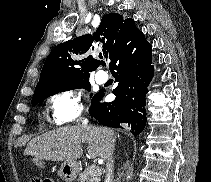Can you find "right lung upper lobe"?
<instances>
[{
    "label": "right lung upper lobe",
    "instance_id": "cb5924a9",
    "mask_svg": "<svg viewBox=\"0 0 211 182\" xmlns=\"http://www.w3.org/2000/svg\"><path fill=\"white\" fill-rule=\"evenodd\" d=\"M139 32L131 18L123 20V17L116 13L104 15L93 35L86 34L66 41L51 51L43 65L34 94L52 85L89 77V73L97 69L99 61L92 57L81 60L77 58L93 50L95 42L103 44L102 52L110 59L111 68L117 51ZM99 57H102L101 52Z\"/></svg>",
    "mask_w": 211,
    "mask_h": 182
}]
</instances>
